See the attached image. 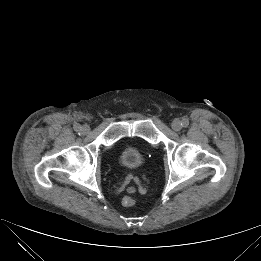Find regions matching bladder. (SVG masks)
Wrapping results in <instances>:
<instances>
[{"label":"bladder","mask_w":261,"mask_h":261,"mask_svg":"<svg viewBox=\"0 0 261 261\" xmlns=\"http://www.w3.org/2000/svg\"><path fill=\"white\" fill-rule=\"evenodd\" d=\"M147 155V149L141 145L125 144L120 153V163L128 169L139 168Z\"/></svg>","instance_id":"31cf9c89"}]
</instances>
